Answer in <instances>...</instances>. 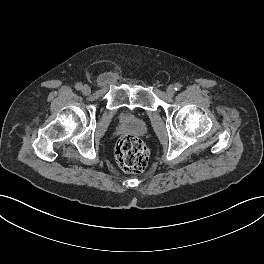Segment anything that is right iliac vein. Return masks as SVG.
<instances>
[{"label": "right iliac vein", "instance_id": "obj_1", "mask_svg": "<svg viewBox=\"0 0 264 264\" xmlns=\"http://www.w3.org/2000/svg\"><path fill=\"white\" fill-rule=\"evenodd\" d=\"M82 93L85 95H89L91 93V88L88 85H84L82 87Z\"/></svg>", "mask_w": 264, "mask_h": 264}]
</instances>
